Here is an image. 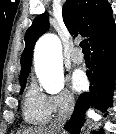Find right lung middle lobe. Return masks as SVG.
Instances as JSON below:
<instances>
[{
	"instance_id": "1",
	"label": "right lung middle lobe",
	"mask_w": 116,
	"mask_h": 134,
	"mask_svg": "<svg viewBox=\"0 0 116 134\" xmlns=\"http://www.w3.org/2000/svg\"><path fill=\"white\" fill-rule=\"evenodd\" d=\"M20 85H21L20 94H22V92H23V90H24V88H25V85H26V80H23V81L20 83Z\"/></svg>"
}]
</instances>
